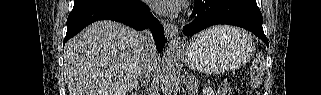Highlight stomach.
Masks as SVG:
<instances>
[{
    "label": "stomach",
    "mask_w": 321,
    "mask_h": 95,
    "mask_svg": "<svg viewBox=\"0 0 321 95\" xmlns=\"http://www.w3.org/2000/svg\"><path fill=\"white\" fill-rule=\"evenodd\" d=\"M255 52V43L235 29L225 34L202 32L186 48L188 66L198 72L223 73L245 64Z\"/></svg>",
    "instance_id": "obj_1"
}]
</instances>
